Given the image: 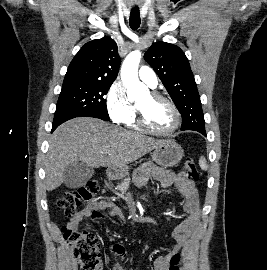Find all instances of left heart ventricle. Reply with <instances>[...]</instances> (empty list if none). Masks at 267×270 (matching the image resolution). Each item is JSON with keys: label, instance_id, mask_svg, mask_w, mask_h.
<instances>
[{"label": "left heart ventricle", "instance_id": "b2bd125f", "mask_svg": "<svg viewBox=\"0 0 267 270\" xmlns=\"http://www.w3.org/2000/svg\"><path fill=\"white\" fill-rule=\"evenodd\" d=\"M146 123L158 131L169 130L174 123V115L170 106L161 100L153 99L146 95L137 103Z\"/></svg>", "mask_w": 267, "mask_h": 270}]
</instances>
